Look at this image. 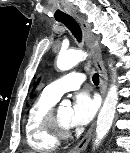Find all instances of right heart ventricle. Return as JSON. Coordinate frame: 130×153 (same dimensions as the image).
<instances>
[{"label": "right heart ventricle", "mask_w": 130, "mask_h": 153, "mask_svg": "<svg viewBox=\"0 0 130 153\" xmlns=\"http://www.w3.org/2000/svg\"><path fill=\"white\" fill-rule=\"evenodd\" d=\"M58 100L45 90L31 106L24 125L27 145L38 152H51L59 145V138L45 125V116Z\"/></svg>", "instance_id": "right-heart-ventricle-1"}]
</instances>
